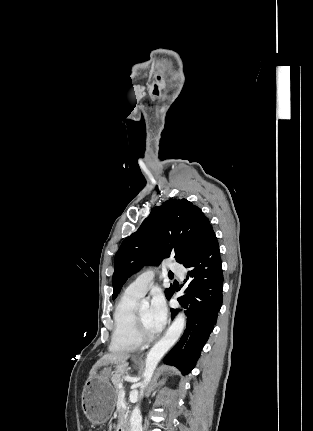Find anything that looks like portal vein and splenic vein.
<instances>
[{
	"label": "portal vein and splenic vein",
	"mask_w": 313,
	"mask_h": 431,
	"mask_svg": "<svg viewBox=\"0 0 313 431\" xmlns=\"http://www.w3.org/2000/svg\"><path fill=\"white\" fill-rule=\"evenodd\" d=\"M118 387H119V389H120V391H119V395H125V390H124V386H123V384H122V383H120V384L118 385Z\"/></svg>",
	"instance_id": "18ae733b"
}]
</instances>
